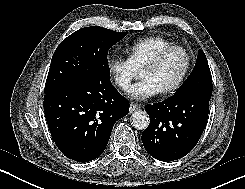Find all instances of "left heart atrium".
<instances>
[{"instance_id": "39dd6f15", "label": "left heart atrium", "mask_w": 245, "mask_h": 189, "mask_svg": "<svg viewBox=\"0 0 245 189\" xmlns=\"http://www.w3.org/2000/svg\"><path fill=\"white\" fill-rule=\"evenodd\" d=\"M159 92L160 90L148 79H141L128 90V94L138 100L154 97Z\"/></svg>"}]
</instances>
